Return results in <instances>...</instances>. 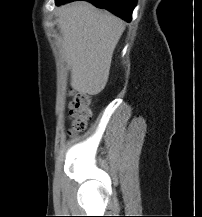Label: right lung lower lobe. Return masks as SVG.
<instances>
[{"label":"right lung lower lobe","instance_id":"right-lung-lower-lobe-1","mask_svg":"<svg viewBox=\"0 0 202 217\" xmlns=\"http://www.w3.org/2000/svg\"><path fill=\"white\" fill-rule=\"evenodd\" d=\"M57 5L75 0H55ZM94 4L98 8L106 9L122 19L130 22L132 11L137 0H85Z\"/></svg>","mask_w":202,"mask_h":217}]
</instances>
